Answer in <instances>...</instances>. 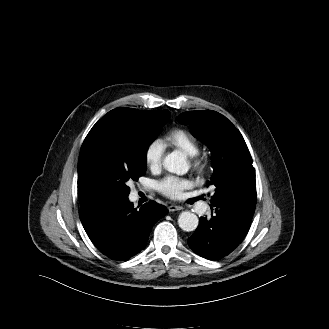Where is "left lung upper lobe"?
<instances>
[{
	"label": "left lung upper lobe",
	"mask_w": 329,
	"mask_h": 329,
	"mask_svg": "<svg viewBox=\"0 0 329 329\" xmlns=\"http://www.w3.org/2000/svg\"><path fill=\"white\" fill-rule=\"evenodd\" d=\"M177 121L189 125L192 135L211 149L213 175L207 183L215 186L211 204L234 196L254 171L250 152L238 129L211 110L184 112Z\"/></svg>",
	"instance_id": "5c2ea615"
}]
</instances>
